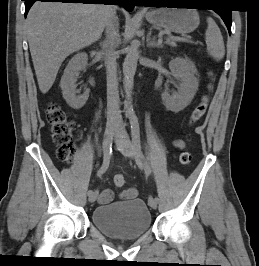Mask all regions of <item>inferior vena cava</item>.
<instances>
[{
    "mask_svg": "<svg viewBox=\"0 0 259 266\" xmlns=\"http://www.w3.org/2000/svg\"><path fill=\"white\" fill-rule=\"evenodd\" d=\"M107 40L103 45L106 53V74H107V118L112 123L121 121L119 110V93L117 79V53L115 48L120 42L118 23L115 8L110 9L106 24Z\"/></svg>",
    "mask_w": 259,
    "mask_h": 266,
    "instance_id": "1",
    "label": "inferior vena cava"
}]
</instances>
